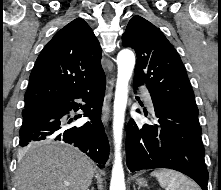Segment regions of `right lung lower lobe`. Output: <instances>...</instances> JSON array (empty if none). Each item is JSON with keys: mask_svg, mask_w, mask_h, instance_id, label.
Instances as JSON below:
<instances>
[{"mask_svg": "<svg viewBox=\"0 0 221 190\" xmlns=\"http://www.w3.org/2000/svg\"><path fill=\"white\" fill-rule=\"evenodd\" d=\"M105 85L104 74L89 85L24 116L19 130L20 146L44 139L65 141L90 156L100 168L103 167L109 156V142L100 119ZM75 99H81L85 104H77ZM79 108L91 120L82 126H72L73 118L68 115L69 111Z\"/></svg>", "mask_w": 221, "mask_h": 190, "instance_id": "right-lung-lower-lobe-1", "label": "right lung lower lobe"}]
</instances>
